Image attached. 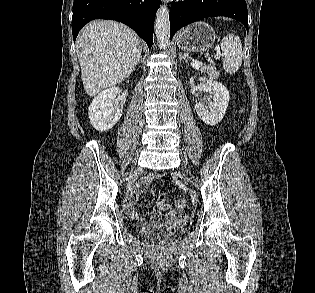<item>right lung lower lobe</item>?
Wrapping results in <instances>:
<instances>
[{"mask_svg": "<svg viewBox=\"0 0 315 293\" xmlns=\"http://www.w3.org/2000/svg\"><path fill=\"white\" fill-rule=\"evenodd\" d=\"M160 0H74L72 33L75 41L81 28L94 19H111L132 28L148 47L153 43L154 18Z\"/></svg>", "mask_w": 315, "mask_h": 293, "instance_id": "obj_1", "label": "right lung lower lobe"}]
</instances>
